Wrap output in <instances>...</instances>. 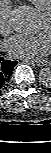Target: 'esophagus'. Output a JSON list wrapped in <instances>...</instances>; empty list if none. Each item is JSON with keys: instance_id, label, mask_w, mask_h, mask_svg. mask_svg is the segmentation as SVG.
<instances>
[{"instance_id": "34e87169", "label": "esophagus", "mask_w": 51, "mask_h": 153, "mask_svg": "<svg viewBox=\"0 0 51 153\" xmlns=\"http://www.w3.org/2000/svg\"><path fill=\"white\" fill-rule=\"evenodd\" d=\"M25 61L33 64V61H28V60H25ZM36 65L37 66H49L50 62L48 60H41V61H37Z\"/></svg>"}]
</instances>
